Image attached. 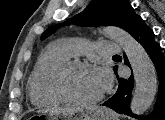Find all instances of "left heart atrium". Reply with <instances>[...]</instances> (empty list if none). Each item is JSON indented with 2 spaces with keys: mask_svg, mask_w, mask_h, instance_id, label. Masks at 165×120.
Here are the masks:
<instances>
[{
  "mask_svg": "<svg viewBox=\"0 0 165 120\" xmlns=\"http://www.w3.org/2000/svg\"><path fill=\"white\" fill-rule=\"evenodd\" d=\"M92 72L102 91L110 87L111 76L106 68L97 67Z\"/></svg>",
  "mask_w": 165,
  "mask_h": 120,
  "instance_id": "1",
  "label": "left heart atrium"
}]
</instances>
